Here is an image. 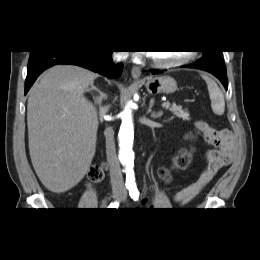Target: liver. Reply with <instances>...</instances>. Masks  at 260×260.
<instances>
[{
    "label": "liver",
    "mask_w": 260,
    "mask_h": 260,
    "mask_svg": "<svg viewBox=\"0 0 260 260\" xmlns=\"http://www.w3.org/2000/svg\"><path fill=\"white\" fill-rule=\"evenodd\" d=\"M97 77L79 66L56 65L29 91V153L37 176L52 192L68 191L90 169L98 118L84 93Z\"/></svg>",
    "instance_id": "liver-1"
}]
</instances>
